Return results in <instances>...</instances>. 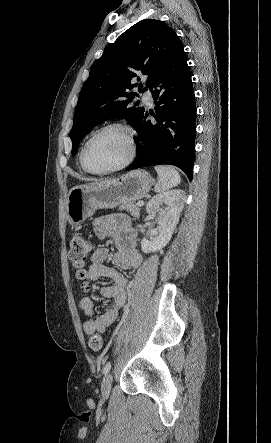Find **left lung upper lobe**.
<instances>
[{
	"mask_svg": "<svg viewBox=\"0 0 271 443\" xmlns=\"http://www.w3.org/2000/svg\"><path fill=\"white\" fill-rule=\"evenodd\" d=\"M181 44L176 32L163 21L145 19L106 47L92 64L79 95L70 132L73 155L83 137L103 121L121 118L136 129L145 111L143 107H135L136 104L130 107L133 95L138 94L127 89L138 86L141 90L143 77L148 88L153 75Z\"/></svg>",
	"mask_w": 271,
	"mask_h": 443,
	"instance_id": "obj_1",
	"label": "left lung upper lobe"
}]
</instances>
